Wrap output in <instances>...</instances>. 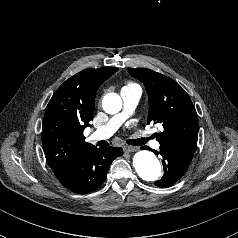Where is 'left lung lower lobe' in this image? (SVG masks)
Instances as JSON below:
<instances>
[{"label": "left lung lower lobe", "mask_w": 238, "mask_h": 238, "mask_svg": "<svg viewBox=\"0 0 238 238\" xmlns=\"http://www.w3.org/2000/svg\"><path fill=\"white\" fill-rule=\"evenodd\" d=\"M164 167L163 177L155 182L158 187L168 188L174 185L187 171L194 155L193 150L160 145Z\"/></svg>", "instance_id": "1"}]
</instances>
